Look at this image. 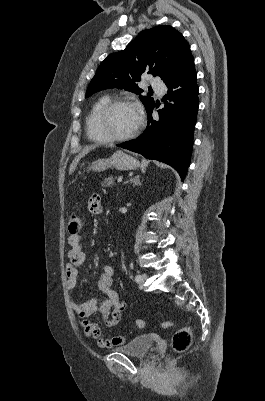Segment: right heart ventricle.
<instances>
[{"label": "right heart ventricle", "mask_w": 265, "mask_h": 401, "mask_svg": "<svg viewBox=\"0 0 265 401\" xmlns=\"http://www.w3.org/2000/svg\"><path fill=\"white\" fill-rule=\"evenodd\" d=\"M110 101L109 96H102L99 99H97L93 105L91 106L87 116H86V131L88 137L96 142H103L99 135L95 132L94 130V119L98 113V111L107 103Z\"/></svg>", "instance_id": "1"}]
</instances>
